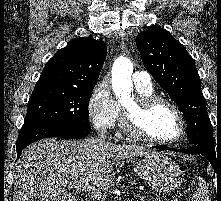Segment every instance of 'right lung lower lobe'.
<instances>
[{
	"label": "right lung lower lobe",
	"instance_id": "98d812e1",
	"mask_svg": "<svg viewBox=\"0 0 221 201\" xmlns=\"http://www.w3.org/2000/svg\"><path fill=\"white\" fill-rule=\"evenodd\" d=\"M87 132L89 131L63 124H38L27 128L22 127L16 143L17 158L27 145L39 139L48 137L80 139L86 137Z\"/></svg>",
	"mask_w": 221,
	"mask_h": 201
}]
</instances>
